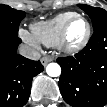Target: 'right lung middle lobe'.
Returning a JSON list of instances; mask_svg holds the SVG:
<instances>
[{
	"mask_svg": "<svg viewBox=\"0 0 107 107\" xmlns=\"http://www.w3.org/2000/svg\"><path fill=\"white\" fill-rule=\"evenodd\" d=\"M24 17V11H17L7 5H0V37L16 38L18 26Z\"/></svg>",
	"mask_w": 107,
	"mask_h": 107,
	"instance_id": "obj_1",
	"label": "right lung middle lobe"
}]
</instances>
